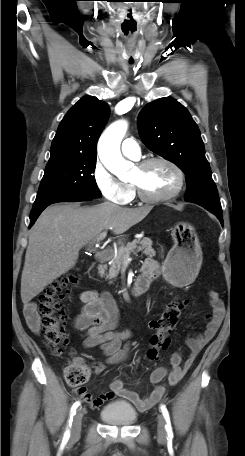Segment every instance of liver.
<instances>
[{"label": "liver", "mask_w": 245, "mask_h": 456, "mask_svg": "<svg viewBox=\"0 0 245 456\" xmlns=\"http://www.w3.org/2000/svg\"><path fill=\"white\" fill-rule=\"evenodd\" d=\"M151 210L152 206L125 208L111 202L92 207L55 204L46 208L30 231L21 276L22 302L27 304L73 268L79 250L104 229L122 234Z\"/></svg>", "instance_id": "obj_1"}]
</instances>
